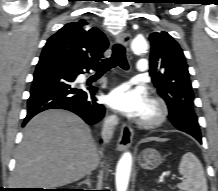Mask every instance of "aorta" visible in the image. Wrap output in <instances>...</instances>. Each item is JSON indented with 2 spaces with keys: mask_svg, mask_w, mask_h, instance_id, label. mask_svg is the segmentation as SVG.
<instances>
[{
  "mask_svg": "<svg viewBox=\"0 0 218 191\" xmlns=\"http://www.w3.org/2000/svg\"><path fill=\"white\" fill-rule=\"evenodd\" d=\"M131 49L134 53H142L148 49L147 41L137 37L131 42ZM132 166V155L125 152L120 158L116 168V190L127 191Z\"/></svg>",
  "mask_w": 218,
  "mask_h": 191,
  "instance_id": "1",
  "label": "aorta"
}]
</instances>
